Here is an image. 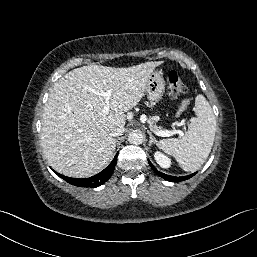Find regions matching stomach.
I'll return each instance as SVG.
<instances>
[{"mask_svg":"<svg viewBox=\"0 0 257 257\" xmlns=\"http://www.w3.org/2000/svg\"><path fill=\"white\" fill-rule=\"evenodd\" d=\"M145 90L151 104L155 105L162 99L165 90V81L161 71L156 70L151 73Z\"/></svg>","mask_w":257,"mask_h":257,"instance_id":"obj_1","label":"stomach"}]
</instances>
